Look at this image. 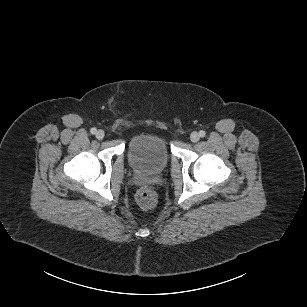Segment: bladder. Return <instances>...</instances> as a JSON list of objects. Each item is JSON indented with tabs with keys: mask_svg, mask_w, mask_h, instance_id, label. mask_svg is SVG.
Here are the masks:
<instances>
[{
	"mask_svg": "<svg viewBox=\"0 0 307 307\" xmlns=\"http://www.w3.org/2000/svg\"><path fill=\"white\" fill-rule=\"evenodd\" d=\"M128 161L139 173L153 174L162 171L170 159V147L167 140L154 133H142L129 143Z\"/></svg>",
	"mask_w": 307,
	"mask_h": 307,
	"instance_id": "bladder-1",
	"label": "bladder"
}]
</instances>
